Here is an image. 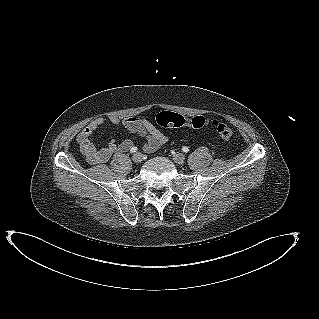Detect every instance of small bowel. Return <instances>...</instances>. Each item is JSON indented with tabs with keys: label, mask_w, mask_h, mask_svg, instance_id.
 <instances>
[{
	"label": "small bowel",
	"mask_w": 319,
	"mask_h": 319,
	"mask_svg": "<svg viewBox=\"0 0 319 319\" xmlns=\"http://www.w3.org/2000/svg\"><path fill=\"white\" fill-rule=\"evenodd\" d=\"M108 121L113 125L122 124L126 130L141 136L145 140L143 150L147 153L154 152L170 140L167 134L158 130L145 118L127 117L120 120L116 116H111L108 118ZM105 122L106 119L104 117H97L77 136L80 151L91 164H104L108 162L113 155L130 151L134 145L131 140L126 139L120 143L111 141L106 146L97 148L94 143V134Z\"/></svg>",
	"instance_id": "obj_1"
}]
</instances>
